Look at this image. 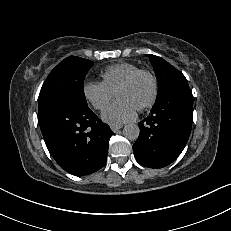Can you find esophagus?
<instances>
[{
  "label": "esophagus",
  "mask_w": 231,
  "mask_h": 231,
  "mask_svg": "<svg viewBox=\"0 0 231 231\" xmlns=\"http://www.w3.org/2000/svg\"><path fill=\"white\" fill-rule=\"evenodd\" d=\"M122 128V125H112L111 126V130L113 132H117L118 130H120Z\"/></svg>",
  "instance_id": "esophagus-1"
}]
</instances>
